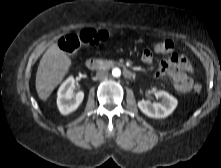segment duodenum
<instances>
[{"label":"duodenum","mask_w":221,"mask_h":168,"mask_svg":"<svg viewBox=\"0 0 221 168\" xmlns=\"http://www.w3.org/2000/svg\"><path fill=\"white\" fill-rule=\"evenodd\" d=\"M86 67L90 70H98L102 67V63L96 58H88L86 60ZM122 71H123V75L127 79H132L135 77V73L128 68L123 67Z\"/></svg>","instance_id":"1"}]
</instances>
